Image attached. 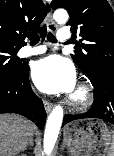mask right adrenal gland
<instances>
[{
  "mask_svg": "<svg viewBox=\"0 0 114 156\" xmlns=\"http://www.w3.org/2000/svg\"><path fill=\"white\" fill-rule=\"evenodd\" d=\"M29 146H31V147L33 146V138L30 140L29 144L26 145V147L23 149V151L26 150Z\"/></svg>",
  "mask_w": 114,
  "mask_h": 156,
  "instance_id": "1",
  "label": "right adrenal gland"
}]
</instances>
